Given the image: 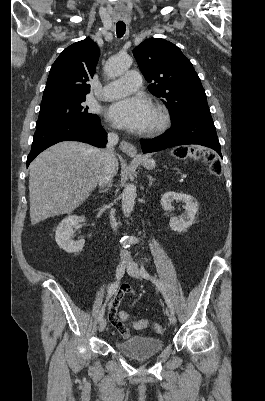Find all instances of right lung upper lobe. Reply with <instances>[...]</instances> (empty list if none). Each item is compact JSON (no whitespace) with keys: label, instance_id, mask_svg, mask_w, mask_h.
Segmentation results:
<instances>
[{"label":"right lung upper lobe","instance_id":"1","mask_svg":"<svg viewBox=\"0 0 265 401\" xmlns=\"http://www.w3.org/2000/svg\"><path fill=\"white\" fill-rule=\"evenodd\" d=\"M99 53L97 44L90 38L67 47L50 69L41 104L85 97L90 92L86 82L93 77Z\"/></svg>","mask_w":265,"mask_h":401}]
</instances>
